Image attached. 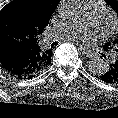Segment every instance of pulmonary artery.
I'll return each instance as SVG.
<instances>
[{"mask_svg":"<svg viewBox=\"0 0 118 118\" xmlns=\"http://www.w3.org/2000/svg\"><path fill=\"white\" fill-rule=\"evenodd\" d=\"M105 3L103 0H88L82 14L75 20L67 23L62 28H57L50 39H71L77 37L88 26L97 23L105 14ZM117 58L115 53L111 54L109 60L114 62Z\"/></svg>","mask_w":118,"mask_h":118,"instance_id":"1","label":"pulmonary artery"}]
</instances>
